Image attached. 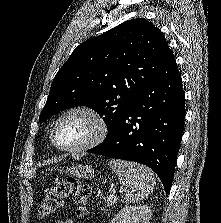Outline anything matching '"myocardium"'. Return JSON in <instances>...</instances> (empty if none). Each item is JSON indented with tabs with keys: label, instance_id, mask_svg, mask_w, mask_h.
Wrapping results in <instances>:
<instances>
[{
	"label": "myocardium",
	"instance_id": "obj_1",
	"mask_svg": "<svg viewBox=\"0 0 221 223\" xmlns=\"http://www.w3.org/2000/svg\"><path fill=\"white\" fill-rule=\"evenodd\" d=\"M73 113H81L89 116L95 123V131L93 135L83 142L80 145L76 146H62L60 145L57 140H56V131L57 128L60 124V122L68 115L73 114ZM109 132V126L104 118L98 111L95 109L88 107V106H73L65 111H63L55 120L51 134H50V139L53 143V145L61 150V151H66V152H80V151H85L89 150L97 145H99L107 136Z\"/></svg>",
	"mask_w": 221,
	"mask_h": 223
}]
</instances>
